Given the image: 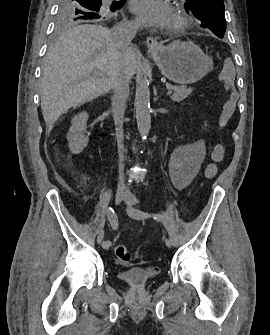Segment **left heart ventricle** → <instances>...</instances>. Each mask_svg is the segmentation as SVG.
I'll return each mask as SVG.
<instances>
[{
    "label": "left heart ventricle",
    "instance_id": "1",
    "mask_svg": "<svg viewBox=\"0 0 270 335\" xmlns=\"http://www.w3.org/2000/svg\"><path fill=\"white\" fill-rule=\"evenodd\" d=\"M177 52H185V51L180 50V51H177Z\"/></svg>",
    "mask_w": 270,
    "mask_h": 335
}]
</instances>
